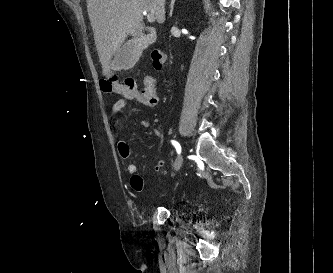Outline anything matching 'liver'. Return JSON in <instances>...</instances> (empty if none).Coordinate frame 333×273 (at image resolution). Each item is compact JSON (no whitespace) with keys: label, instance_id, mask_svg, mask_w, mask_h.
<instances>
[{"label":"liver","instance_id":"obj_1","mask_svg":"<svg viewBox=\"0 0 333 273\" xmlns=\"http://www.w3.org/2000/svg\"><path fill=\"white\" fill-rule=\"evenodd\" d=\"M165 0H87V11L103 75L117 69L115 57L128 35L144 38L143 13L165 21Z\"/></svg>","mask_w":333,"mask_h":273}]
</instances>
